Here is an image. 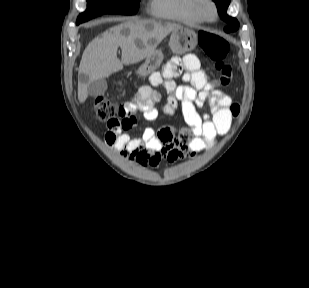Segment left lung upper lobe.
Returning <instances> with one entry per match:
<instances>
[{
	"label": "left lung upper lobe",
	"mask_w": 309,
	"mask_h": 288,
	"mask_svg": "<svg viewBox=\"0 0 309 288\" xmlns=\"http://www.w3.org/2000/svg\"><path fill=\"white\" fill-rule=\"evenodd\" d=\"M213 1L217 5L219 15L228 24V26L224 28V31L227 33L236 31L239 27V22L235 18L228 16L226 13L230 0H213Z\"/></svg>",
	"instance_id": "obj_1"
}]
</instances>
